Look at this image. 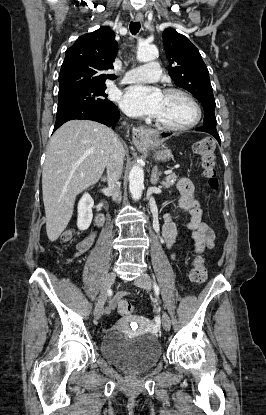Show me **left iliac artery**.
Returning a JSON list of instances; mask_svg holds the SVG:
<instances>
[{"instance_id": "44dca946", "label": "left iliac artery", "mask_w": 266, "mask_h": 415, "mask_svg": "<svg viewBox=\"0 0 266 415\" xmlns=\"http://www.w3.org/2000/svg\"><path fill=\"white\" fill-rule=\"evenodd\" d=\"M154 288H155V290H158L159 289V287L157 286L156 283H154Z\"/></svg>"}]
</instances>
